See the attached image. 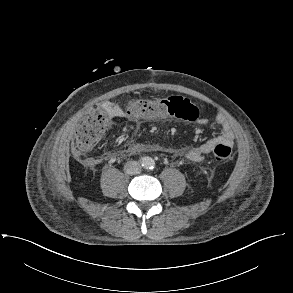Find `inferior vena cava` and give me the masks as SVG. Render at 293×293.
Here are the masks:
<instances>
[{
    "mask_svg": "<svg viewBox=\"0 0 293 293\" xmlns=\"http://www.w3.org/2000/svg\"><path fill=\"white\" fill-rule=\"evenodd\" d=\"M124 170L129 175L138 174L141 172V165L137 161H128L124 166Z\"/></svg>",
    "mask_w": 293,
    "mask_h": 293,
    "instance_id": "1",
    "label": "inferior vena cava"
}]
</instances>
